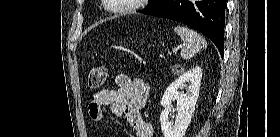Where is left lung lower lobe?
<instances>
[{
    "mask_svg": "<svg viewBox=\"0 0 280 137\" xmlns=\"http://www.w3.org/2000/svg\"><path fill=\"white\" fill-rule=\"evenodd\" d=\"M226 0H163L143 14L187 24L207 36L224 53Z\"/></svg>",
    "mask_w": 280,
    "mask_h": 137,
    "instance_id": "left-lung-lower-lobe-1",
    "label": "left lung lower lobe"
}]
</instances>
